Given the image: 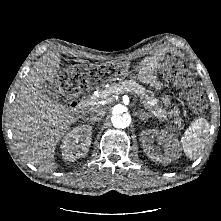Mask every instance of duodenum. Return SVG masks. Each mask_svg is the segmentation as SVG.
Masks as SVG:
<instances>
[{"label":"duodenum","instance_id":"410a0bca","mask_svg":"<svg viewBox=\"0 0 221 221\" xmlns=\"http://www.w3.org/2000/svg\"><path fill=\"white\" fill-rule=\"evenodd\" d=\"M84 99L77 98V99H70L68 102V106L74 111L79 112L84 108Z\"/></svg>","mask_w":221,"mask_h":221}]
</instances>
